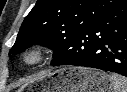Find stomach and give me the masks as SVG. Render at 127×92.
Wrapping results in <instances>:
<instances>
[{"label":"stomach","instance_id":"1","mask_svg":"<svg viewBox=\"0 0 127 92\" xmlns=\"http://www.w3.org/2000/svg\"><path fill=\"white\" fill-rule=\"evenodd\" d=\"M41 92H111L109 75L84 67H64L37 81Z\"/></svg>","mask_w":127,"mask_h":92}]
</instances>
